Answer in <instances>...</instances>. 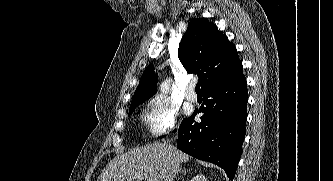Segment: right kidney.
Returning <instances> with one entry per match:
<instances>
[{
	"mask_svg": "<svg viewBox=\"0 0 333 181\" xmlns=\"http://www.w3.org/2000/svg\"><path fill=\"white\" fill-rule=\"evenodd\" d=\"M191 181H207V178L204 175L200 174L193 177Z\"/></svg>",
	"mask_w": 333,
	"mask_h": 181,
	"instance_id": "obj_1",
	"label": "right kidney"
}]
</instances>
